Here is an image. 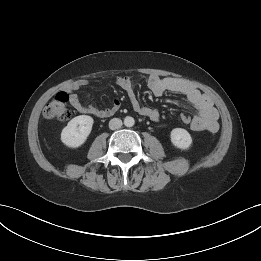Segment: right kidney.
Here are the masks:
<instances>
[{
    "mask_svg": "<svg viewBox=\"0 0 261 261\" xmlns=\"http://www.w3.org/2000/svg\"><path fill=\"white\" fill-rule=\"evenodd\" d=\"M94 120L91 116L80 115L71 119L61 132V141L70 148H78L85 143L91 133Z\"/></svg>",
    "mask_w": 261,
    "mask_h": 261,
    "instance_id": "1",
    "label": "right kidney"
}]
</instances>
